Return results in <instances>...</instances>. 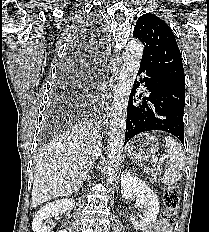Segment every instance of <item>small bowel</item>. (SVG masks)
<instances>
[{
	"label": "small bowel",
	"mask_w": 209,
	"mask_h": 232,
	"mask_svg": "<svg viewBox=\"0 0 209 232\" xmlns=\"http://www.w3.org/2000/svg\"><path fill=\"white\" fill-rule=\"evenodd\" d=\"M148 232H169V226L167 223H164L160 220L156 222L153 229Z\"/></svg>",
	"instance_id": "1"
}]
</instances>
